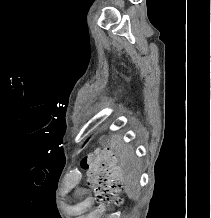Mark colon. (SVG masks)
<instances>
[{
    "label": "colon",
    "instance_id": "5ec220e1",
    "mask_svg": "<svg viewBox=\"0 0 211 218\" xmlns=\"http://www.w3.org/2000/svg\"><path fill=\"white\" fill-rule=\"evenodd\" d=\"M81 166L87 171L89 184L99 193L101 201L121 202L123 178L111 151L96 149L83 158Z\"/></svg>",
    "mask_w": 211,
    "mask_h": 218
}]
</instances>
